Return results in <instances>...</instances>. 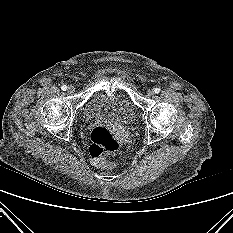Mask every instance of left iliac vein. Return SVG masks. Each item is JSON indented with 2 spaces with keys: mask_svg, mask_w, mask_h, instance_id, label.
I'll return each instance as SVG.
<instances>
[{
  "mask_svg": "<svg viewBox=\"0 0 233 233\" xmlns=\"http://www.w3.org/2000/svg\"><path fill=\"white\" fill-rule=\"evenodd\" d=\"M154 94V90L153 89H148L147 90V96H152Z\"/></svg>",
  "mask_w": 233,
  "mask_h": 233,
  "instance_id": "obj_1",
  "label": "left iliac vein"
}]
</instances>
